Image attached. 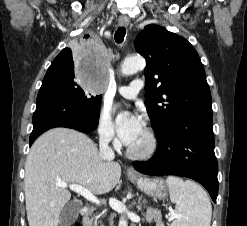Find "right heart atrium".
<instances>
[{
	"label": "right heart atrium",
	"mask_w": 247,
	"mask_h": 226,
	"mask_svg": "<svg viewBox=\"0 0 247 226\" xmlns=\"http://www.w3.org/2000/svg\"><path fill=\"white\" fill-rule=\"evenodd\" d=\"M97 133L102 142L113 145L118 144L112 117L110 111L106 107L101 108L99 112Z\"/></svg>",
	"instance_id": "1"
}]
</instances>
